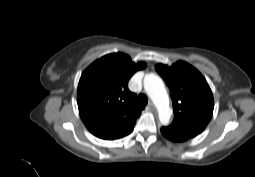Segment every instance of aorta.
<instances>
[{"mask_svg": "<svg viewBox=\"0 0 255 177\" xmlns=\"http://www.w3.org/2000/svg\"><path fill=\"white\" fill-rule=\"evenodd\" d=\"M144 89L155 104L161 124L167 125L171 116L169 97L162 79L155 74H148L144 77Z\"/></svg>", "mask_w": 255, "mask_h": 177, "instance_id": "obj_1", "label": "aorta"}]
</instances>
